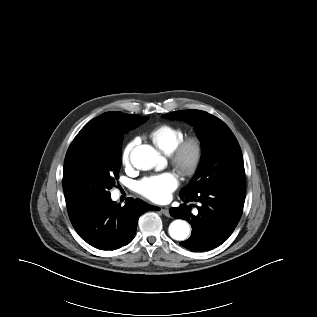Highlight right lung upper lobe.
<instances>
[{"mask_svg":"<svg viewBox=\"0 0 317 317\" xmlns=\"http://www.w3.org/2000/svg\"><path fill=\"white\" fill-rule=\"evenodd\" d=\"M110 112L104 113L89 123H87L82 129L81 132H86L89 130H95V131H100V132H105L107 129V126L110 122Z\"/></svg>","mask_w":317,"mask_h":317,"instance_id":"obj_1","label":"right lung upper lobe"}]
</instances>
